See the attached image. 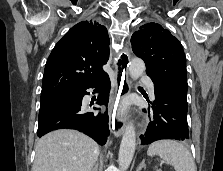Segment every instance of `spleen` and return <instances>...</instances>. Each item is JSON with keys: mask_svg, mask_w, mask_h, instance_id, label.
Here are the masks:
<instances>
[{"mask_svg": "<svg viewBox=\"0 0 223 171\" xmlns=\"http://www.w3.org/2000/svg\"><path fill=\"white\" fill-rule=\"evenodd\" d=\"M147 154L158 155L176 171H197L190 151L182 144L174 140H160L152 143Z\"/></svg>", "mask_w": 223, "mask_h": 171, "instance_id": "spleen-1", "label": "spleen"}]
</instances>
